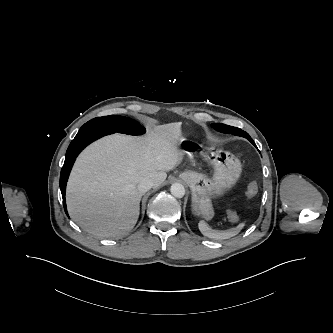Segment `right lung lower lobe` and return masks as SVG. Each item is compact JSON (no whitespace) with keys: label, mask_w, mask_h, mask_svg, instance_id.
I'll return each mask as SVG.
<instances>
[{"label":"right lung lower lobe","mask_w":333,"mask_h":333,"mask_svg":"<svg viewBox=\"0 0 333 333\" xmlns=\"http://www.w3.org/2000/svg\"><path fill=\"white\" fill-rule=\"evenodd\" d=\"M112 133H114V131L107 129H91V130L79 131L76 137L70 143L66 152L65 162L60 174V189L66 213H67L66 204H65L66 182L77 155L81 152V150L84 147H86L94 140L104 135Z\"/></svg>","instance_id":"obj_1"}]
</instances>
